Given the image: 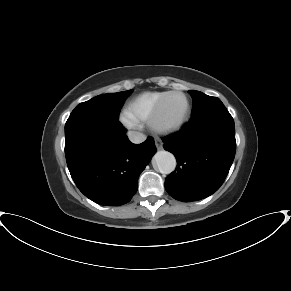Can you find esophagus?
Wrapping results in <instances>:
<instances>
[{
	"label": "esophagus",
	"instance_id": "34e87169",
	"mask_svg": "<svg viewBox=\"0 0 291 291\" xmlns=\"http://www.w3.org/2000/svg\"><path fill=\"white\" fill-rule=\"evenodd\" d=\"M155 145H156V148L158 150H161L163 148V144H162V142L160 140H156L155 141Z\"/></svg>",
	"mask_w": 291,
	"mask_h": 291
}]
</instances>
